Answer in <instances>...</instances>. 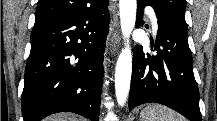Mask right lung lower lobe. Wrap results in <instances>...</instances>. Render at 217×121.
Wrapping results in <instances>:
<instances>
[{
    "instance_id": "right-lung-lower-lobe-1",
    "label": "right lung lower lobe",
    "mask_w": 217,
    "mask_h": 121,
    "mask_svg": "<svg viewBox=\"0 0 217 121\" xmlns=\"http://www.w3.org/2000/svg\"><path fill=\"white\" fill-rule=\"evenodd\" d=\"M35 22L22 93L24 121L69 111L99 120L108 0Z\"/></svg>"
}]
</instances>
